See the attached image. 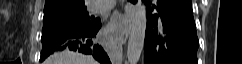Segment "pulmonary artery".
Masks as SVG:
<instances>
[{
    "label": "pulmonary artery",
    "mask_w": 242,
    "mask_h": 64,
    "mask_svg": "<svg viewBox=\"0 0 242 64\" xmlns=\"http://www.w3.org/2000/svg\"><path fill=\"white\" fill-rule=\"evenodd\" d=\"M114 0H96L91 9L96 12L106 11L114 6Z\"/></svg>",
    "instance_id": "obj_1"
}]
</instances>
